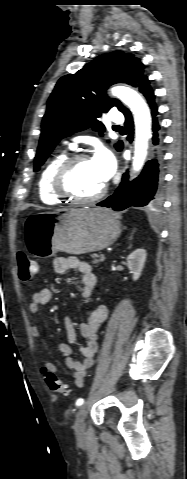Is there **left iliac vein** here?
I'll use <instances>...</instances> for the list:
<instances>
[{
    "label": "left iliac vein",
    "instance_id": "4c4485c4",
    "mask_svg": "<svg viewBox=\"0 0 187 479\" xmlns=\"http://www.w3.org/2000/svg\"><path fill=\"white\" fill-rule=\"evenodd\" d=\"M87 416V406L82 405L77 413H76V418H75V423H74V430L75 434L77 437H81L86 429L85 426V418Z\"/></svg>",
    "mask_w": 187,
    "mask_h": 479
}]
</instances>
